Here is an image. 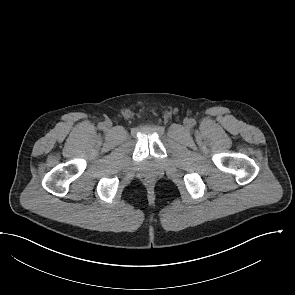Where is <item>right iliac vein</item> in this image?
Returning a JSON list of instances; mask_svg holds the SVG:
<instances>
[{
    "label": "right iliac vein",
    "mask_w": 295,
    "mask_h": 295,
    "mask_svg": "<svg viewBox=\"0 0 295 295\" xmlns=\"http://www.w3.org/2000/svg\"><path fill=\"white\" fill-rule=\"evenodd\" d=\"M104 126H105L106 129H109V128H111L112 123H111L110 121H106V122L104 123Z\"/></svg>",
    "instance_id": "obj_1"
}]
</instances>
